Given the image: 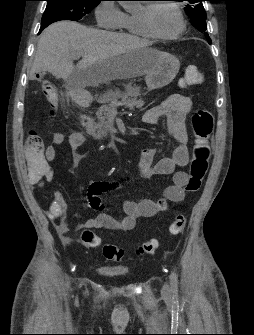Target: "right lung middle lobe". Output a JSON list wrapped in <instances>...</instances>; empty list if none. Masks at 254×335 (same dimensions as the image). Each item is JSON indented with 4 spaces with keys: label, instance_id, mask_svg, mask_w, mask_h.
<instances>
[{
    "label": "right lung middle lobe",
    "instance_id": "obj_1",
    "mask_svg": "<svg viewBox=\"0 0 254 335\" xmlns=\"http://www.w3.org/2000/svg\"><path fill=\"white\" fill-rule=\"evenodd\" d=\"M48 2L41 25L60 20L78 21L97 6L101 0H46Z\"/></svg>",
    "mask_w": 254,
    "mask_h": 335
}]
</instances>
